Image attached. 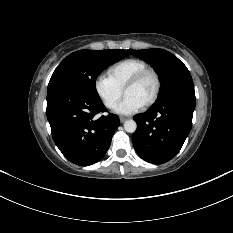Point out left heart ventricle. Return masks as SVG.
Segmentation results:
<instances>
[{
	"instance_id": "left-heart-ventricle-1",
	"label": "left heart ventricle",
	"mask_w": 233,
	"mask_h": 233,
	"mask_svg": "<svg viewBox=\"0 0 233 233\" xmlns=\"http://www.w3.org/2000/svg\"><path fill=\"white\" fill-rule=\"evenodd\" d=\"M155 90L154 77L149 75L145 77L140 83L129 88L125 92V96H132L139 100L143 105L150 99Z\"/></svg>"
}]
</instances>
